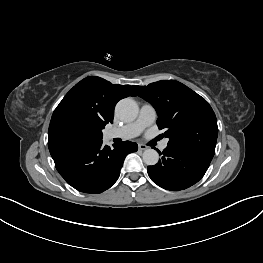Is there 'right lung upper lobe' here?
Masks as SVG:
<instances>
[{"label": "right lung upper lobe", "instance_id": "obj_1", "mask_svg": "<svg viewBox=\"0 0 263 263\" xmlns=\"http://www.w3.org/2000/svg\"><path fill=\"white\" fill-rule=\"evenodd\" d=\"M128 96H136L130 85H115L96 76L78 82L53 112L48 131L50 154L95 142L89 132L76 126L87 123L104 128L113 122L116 103Z\"/></svg>", "mask_w": 263, "mask_h": 263}]
</instances>
